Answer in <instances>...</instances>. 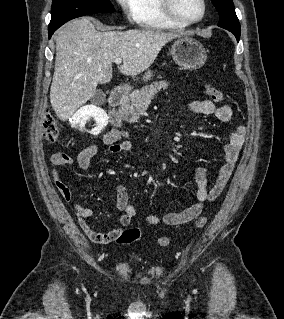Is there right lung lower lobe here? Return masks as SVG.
<instances>
[{
  "label": "right lung lower lobe",
  "mask_w": 284,
  "mask_h": 319,
  "mask_svg": "<svg viewBox=\"0 0 284 319\" xmlns=\"http://www.w3.org/2000/svg\"><path fill=\"white\" fill-rule=\"evenodd\" d=\"M55 30H56V29L48 30L49 38L52 36V34L54 33Z\"/></svg>",
  "instance_id": "right-lung-lower-lobe-1"
}]
</instances>
